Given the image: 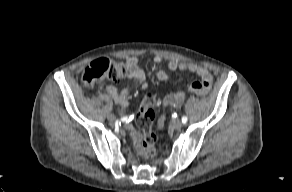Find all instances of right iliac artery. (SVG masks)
<instances>
[{"label": "right iliac artery", "instance_id": "obj_1", "mask_svg": "<svg viewBox=\"0 0 292 192\" xmlns=\"http://www.w3.org/2000/svg\"><path fill=\"white\" fill-rule=\"evenodd\" d=\"M137 116V112L135 110H132L130 112V115H125V116H122L120 118V122L122 124H125L126 122H131V123H134L136 121V117Z\"/></svg>", "mask_w": 292, "mask_h": 192}]
</instances>
